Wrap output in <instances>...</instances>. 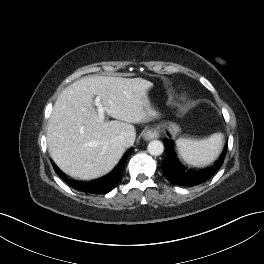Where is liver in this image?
<instances>
[{
  "mask_svg": "<svg viewBox=\"0 0 264 264\" xmlns=\"http://www.w3.org/2000/svg\"><path fill=\"white\" fill-rule=\"evenodd\" d=\"M153 83L142 78L83 77L65 88L56 100L47 127L48 151L66 174L93 179L109 172L136 137L133 124L149 122L158 113L146 93ZM94 96L109 116L104 121L92 104ZM124 136L123 146L115 141Z\"/></svg>",
  "mask_w": 264,
  "mask_h": 264,
  "instance_id": "6515ba94",
  "label": "liver"
}]
</instances>
